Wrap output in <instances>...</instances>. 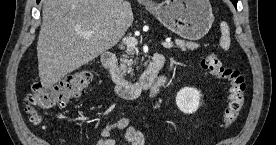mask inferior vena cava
Returning a JSON list of instances; mask_svg holds the SVG:
<instances>
[{
	"label": "inferior vena cava",
	"instance_id": "602c4592",
	"mask_svg": "<svg viewBox=\"0 0 276 145\" xmlns=\"http://www.w3.org/2000/svg\"><path fill=\"white\" fill-rule=\"evenodd\" d=\"M119 3H120V4H124V3H127V1L119 0Z\"/></svg>",
	"mask_w": 276,
	"mask_h": 145
}]
</instances>
